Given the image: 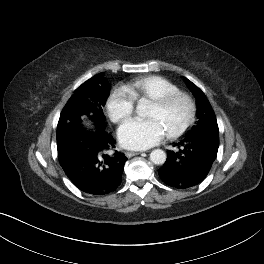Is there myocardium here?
Here are the masks:
<instances>
[{
	"instance_id": "f54148a6",
	"label": "myocardium",
	"mask_w": 264,
	"mask_h": 264,
	"mask_svg": "<svg viewBox=\"0 0 264 264\" xmlns=\"http://www.w3.org/2000/svg\"><path fill=\"white\" fill-rule=\"evenodd\" d=\"M180 101L186 106V116L183 122L177 128L167 132V136L171 139L182 136L193 124L196 116L195 102L189 94L182 91L173 92L152 101V104L158 107L160 110H167L172 105Z\"/></svg>"
}]
</instances>
